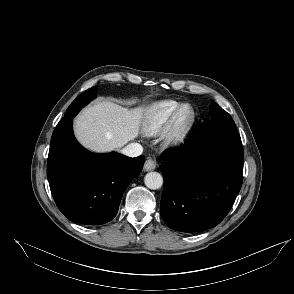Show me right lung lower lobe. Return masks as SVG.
<instances>
[{
	"instance_id": "98d812e1",
	"label": "right lung lower lobe",
	"mask_w": 294,
	"mask_h": 294,
	"mask_svg": "<svg viewBox=\"0 0 294 294\" xmlns=\"http://www.w3.org/2000/svg\"><path fill=\"white\" fill-rule=\"evenodd\" d=\"M95 88L88 98H95ZM73 118L60 121L51 138L47 177L59 210L71 221L100 225L117 214L124 191L144 164V156L91 153L73 134Z\"/></svg>"
}]
</instances>
